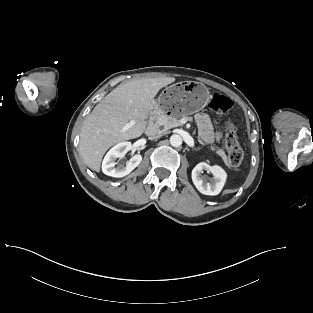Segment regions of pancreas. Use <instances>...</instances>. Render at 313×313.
<instances>
[{"label": "pancreas", "mask_w": 313, "mask_h": 313, "mask_svg": "<svg viewBox=\"0 0 313 313\" xmlns=\"http://www.w3.org/2000/svg\"><path fill=\"white\" fill-rule=\"evenodd\" d=\"M157 123L161 126L164 127V130H168L174 127H178L181 125L180 120L175 117V116H169L167 114H164L162 112H160L157 116ZM202 144H204L201 140H199ZM211 149L213 151H215V153L217 155H219L224 163L228 166V167H232V165L230 164L225 152L222 149L219 148H215V147H211Z\"/></svg>", "instance_id": "cf45deb5"}]
</instances>
